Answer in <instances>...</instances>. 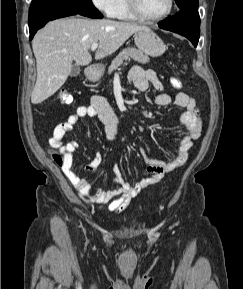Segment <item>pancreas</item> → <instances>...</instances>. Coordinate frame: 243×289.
<instances>
[{"label":"pancreas","mask_w":243,"mask_h":289,"mask_svg":"<svg viewBox=\"0 0 243 289\" xmlns=\"http://www.w3.org/2000/svg\"><path fill=\"white\" fill-rule=\"evenodd\" d=\"M132 58L138 63L146 64L149 62V57L145 55L141 50L133 47H128L123 49L117 57L112 61L108 68V73L111 74L113 71L118 69V67L127 59Z\"/></svg>","instance_id":"pancreas-1"}]
</instances>
